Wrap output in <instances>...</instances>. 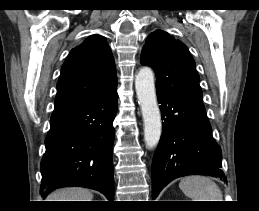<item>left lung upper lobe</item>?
Returning a JSON list of instances; mask_svg holds the SVG:
<instances>
[{
	"instance_id": "1",
	"label": "left lung upper lobe",
	"mask_w": 259,
	"mask_h": 211,
	"mask_svg": "<svg viewBox=\"0 0 259 211\" xmlns=\"http://www.w3.org/2000/svg\"><path fill=\"white\" fill-rule=\"evenodd\" d=\"M141 64L155 71L156 90L202 101L194 59L188 48L167 32L156 30L147 37Z\"/></svg>"
}]
</instances>
